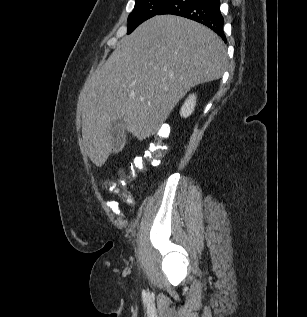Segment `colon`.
<instances>
[{"label": "colon", "instance_id": "5ec220e1", "mask_svg": "<svg viewBox=\"0 0 307 317\" xmlns=\"http://www.w3.org/2000/svg\"><path fill=\"white\" fill-rule=\"evenodd\" d=\"M170 135V128L168 125H161L158 130L154 133L149 147L142 156H138L134 159L131 170L128 174L129 178H134L137 173L145 172L146 166L158 165L161 158L165 155L168 150L167 140ZM101 184L104 189L117 193L121 197L125 198V193L121 192L117 187L115 182L108 177L101 179Z\"/></svg>", "mask_w": 307, "mask_h": 317}]
</instances>
